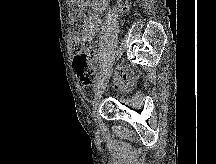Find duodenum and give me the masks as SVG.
I'll use <instances>...</instances> for the list:
<instances>
[{
    "mask_svg": "<svg viewBox=\"0 0 216 164\" xmlns=\"http://www.w3.org/2000/svg\"><path fill=\"white\" fill-rule=\"evenodd\" d=\"M106 5V0H94V10L95 11H101Z\"/></svg>",
    "mask_w": 216,
    "mask_h": 164,
    "instance_id": "obj_1",
    "label": "duodenum"
}]
</instances>
